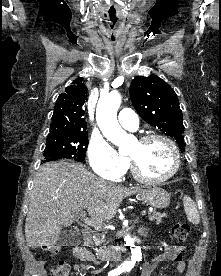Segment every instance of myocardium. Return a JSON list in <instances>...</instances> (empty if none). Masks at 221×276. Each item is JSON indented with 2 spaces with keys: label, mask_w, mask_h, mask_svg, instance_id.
Listing matches in <instances>:
<instances>
[{
  "label": "myocardium",
  "mask_w": 221,
  "mask_h": 276,
  "mask_svg": "<svg viewBox=\"0 0 221 276\" xmlns=\"http://www.w3.org/2000/svg\"><path fill=\"white\" fill-rule=\"evenodd\" d=\"M154 139L162 140L170 147L172 154H173V158H174V166H173V169L168 174H166L164 176L149 177L141 171V169H140L139 165L137 164V162L135 161V159L130 156V164H131L132 174L134 175V177L136 179H138L139 181L145 182V183L165 182V181L173 178L178 173L180 166H181V156H180L179 149H178L176 143L168 136H166L164 134H160V133H151V134H146V135L141 136L139 138L138 142L146 143V142L154 140Z\"/></svg>",
  "instance_id": "f54148a6"
}]
</instances>
